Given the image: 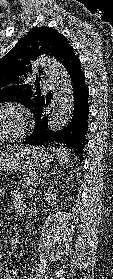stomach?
<instances>
[{
	"instance_id": "1",
	"label": "stomach",
	"mask_w": 113,
	"mask_h": 279,
	"mask_svg": "<svg viewBox=\"0 0 113 279\" xmlns=\"http://www.w3.org/2000/svg\"><path fill=\"white\" fill-rule=\"evenodd\" d=\"M53 154L39 146H11L0 153V172L6 170L35 171L50 164Z\"/></svg>"
}]
</instances>
